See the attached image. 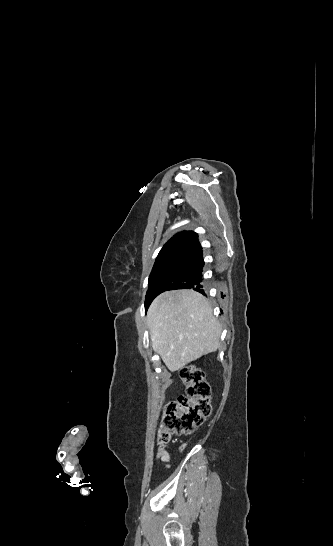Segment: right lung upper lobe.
<instances>
[{"label":"right lung upper lobe","mask_w":333,"mask_h":546,"mask_svg":"<svg viewBox=\"0 0 333 546\" xmlns=\"http://www.w3.org/2000/svg\"><path fill=\"white\" fill-rule=\"evenodd\" d=\"M200 246L198 235L193 231H183L175 234L168 242L163 246L161 252L171 250L189 251Z\"/></svg>","instance_id":"1"}]
</instances>
